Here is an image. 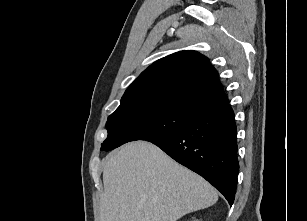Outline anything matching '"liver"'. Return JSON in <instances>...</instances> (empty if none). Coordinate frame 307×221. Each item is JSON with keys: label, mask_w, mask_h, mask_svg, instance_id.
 <instances>
[{"label": "liver", "mask_w": 307, "mask_h": 221, "mask_svg": "<svg viewBox=\"0 0 307 221\" xmlns=\"http://www.w3.org/2000/svg\"><path fill=\"white\" fill-rule=\"evenodd\" d=\"M103 184L101 221H177L218 200L206 180L146 141L108 154Z\"/></svg>", "instance_id": "6515ba94"}]
</instances>
